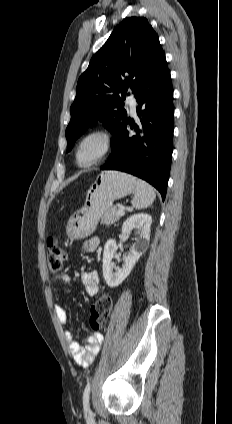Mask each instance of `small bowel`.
Returning a JSON list of instances; mask_svg holds the SVG:
<instances>
[{
    "label": "small bowel",
    "instance_id": "1",
    "mask_svg": "<svg viewBox=\"0 0 232 424\" xmlns=\"http://www.w3.org/2000/svg\"><path fill=\"white\" fill-rule=\"evenodd\" d=\"M99 246V239L92 237L87 239L83 244V250L85 252H94ZM70 278L67 275L60 274L54 277V283L57 285H69ZM81 281L86 287L87 295L90 297L96 296L100 291V278L96 271L83 272L81 274ZM54 313L61 324H66L69 320V314L66 308L61 305L54 306ZM65 339L70 354L74 362L83 367L90 366L95 357L100 351L101 344L103 342V335L101 333L93 334L87 337L86 344L82 347L74 337L70 330L65 331Z\"/></svg>",
    "mask_w": 232,
    "mask_h": 424
}]
</instances>
